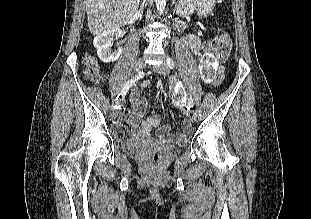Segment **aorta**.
<instances>
[{"label":"aorta","mask_w":311,"mask_h":219,"mask_svg":"<svg viewBox=\"0 0 311 219\" xmlns=\"http://www.w3.org/2000/svg\"><path fill=\"white\" fill-rule=\"evenodd\" d=\"M155 2H156L157 10L160 11V13H162L165 9L166 0H155Z\"/></svg>","instance_id":"1"}]
</instances>
